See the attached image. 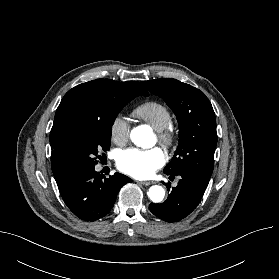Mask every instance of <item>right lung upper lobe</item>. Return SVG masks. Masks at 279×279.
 Returning a JSON list of instances; mask_svg holds the SVG:
<instances>
[{"label": "right lung upper lobe", "instance_id": "cb5924a9", "mask_svg": "<svg viewBox=\"0 0 279 279\" xmlns=\"http://www.w3.org/2000/svg\"><path fill=\"white\" fill-rule=\"evenodd\" d=\"M121 94L149 95L136 81L118 82L111 79H96L77 85L64 95L50 132L51 167L58 188L75 174L68 153L71 130L99 117L106 101Z\"/></svg>", "mask_w": 279, "mask_h": 279}]
</instances>
